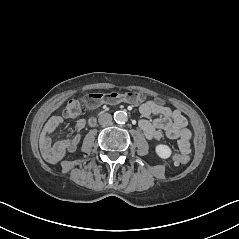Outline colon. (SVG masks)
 Wrapping results in <instances>:
<instances>
[{
    "mask_svg": "<svg viewBox=\"0 0 239 239\" xmlns=\"http://www.w3.org/2000/svg\"><path fill=\"white\" fill-rule=\"evenodd\" d=\"M145 99V96L136 92H127V93H118V92H109L102 93L96 92L89 94L84 101L79 98L71 99L67 106L64 109V115L69 118L78 117L81 114L82 102L86 106H98L102 103H111L116 104L120 102H130V103H139ZM173 160L177 164H184L190 160V156L174 154Z\"/></svg>",
    "mask_w": 239,
    "mask_h": 239,
    "instance_id": "colon-1",
    "label": "colon"
}]
</instances>
